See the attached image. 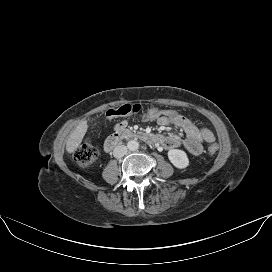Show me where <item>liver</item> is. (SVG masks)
Here are the masks:
<instances>
[{
    "instance_id": "6515ba94",
    "label": "liver",
    "mask_w": 272,
    "mask_h": 272,
    "mask_svg": "<svg viewBox=\"0 0 272 272\" xmlns=\"http://www.w3.org/2000/svg\"><path fill=\"white\" fill-rule=\"evenodd\" d=\"M88 129L87 120L81 121L77 127L72 131L66 142V151L73 153L77 150L81 144L83 137L85 136Z\"/></svg>"
}]
</instances>
